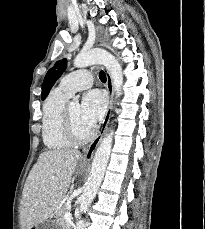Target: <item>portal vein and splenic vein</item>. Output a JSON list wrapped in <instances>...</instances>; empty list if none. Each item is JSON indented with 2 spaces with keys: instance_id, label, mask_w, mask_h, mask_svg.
Listing matches in <instances>:
<instances>
[{
  "instance_id": "portal-vein-and-splenic-vein-1",
  "label": "portal vein and splenic vein",
  "mask_w": 205,
  "mask_h": 229,
  "mask_svg": "<svg viewBox=\"0 0 205 229\" xmlns=\"http://www.w3.org/2000/svg\"><path fill=\"white\" fill-rule=\"evenodd\" d=\"M64 219L66 221H71L73 219L72 214L70 212H67L64 214Z\"/></svg>"
}]
</instances>
